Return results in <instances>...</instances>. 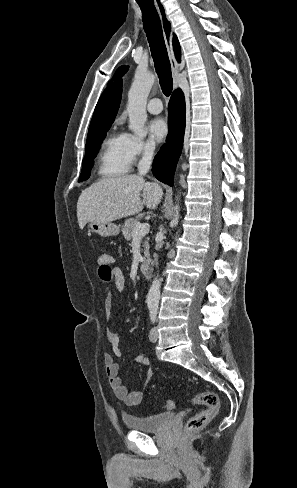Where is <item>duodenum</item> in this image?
<instances>
[{"label": "duodenum", "instance_id": "duodenum-1", "mask_svg": "<svg viewBox=\"0 0 297 488\" xmlns=\"http://www.w3.org/2000/svg\"><path fill=\"white\" fill-rule=\"evenodd\" d=\"M152 272H153L152 262L150 260H146L145 262H143L141 265V273L145 277L149 278V277H151Z\"/></svg>", "mask_w": 297, "mask_h": 488}]
</instances>
